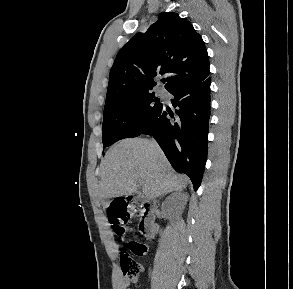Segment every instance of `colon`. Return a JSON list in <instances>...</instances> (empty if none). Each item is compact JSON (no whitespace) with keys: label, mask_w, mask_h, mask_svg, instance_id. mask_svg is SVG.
I'll return each instance as SVG.
<instances>
[{"label":"colon","mask_w":293,"mask_h":289,"mask_svg":"<svg viewBox=\"0 0 293 289\" xmlns=\"http://www.w3.org/2000/svg\"><path fill=\"white\" fill-rule=\"evenodd\" d=\"M138 210L135 205L127 206L123 202L115 201L111 204L108 218L115 233L124 238L127 234L126 223ZM147 252V246L139 241H129L127 250L121 251L120 260L124 275L129 280H135L142 271L141 265L132 258L133 256H143Z\"/></svg>","instance_id":"1"}]
</instances>
